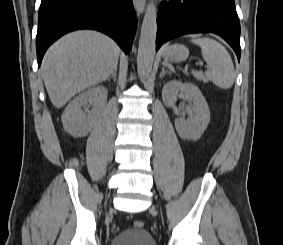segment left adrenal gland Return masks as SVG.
I'll use <instances>...</instances> for the list:
<instances>
[{"label": "left adrenal gland", "mask_w": 283, "mask_h": 245, "mask_svg": "<svg viewBox=\"0 0 283 245\" xmlns=\"http://www.w3.org/2000/svg\"><path fill=\"white\" fill-rule=\"evenodd\" d=\"M165 74H170V72L166 71L165 67H162V72L160 73V78H162Z\"/></svg>", "instance_id": "1"}]
</instances>
